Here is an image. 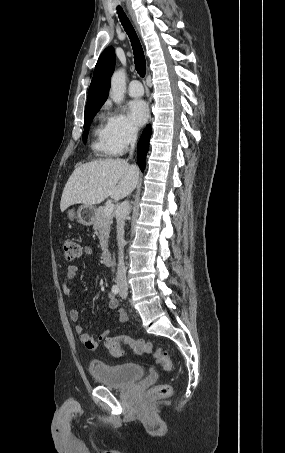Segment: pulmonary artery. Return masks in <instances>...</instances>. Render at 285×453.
<instances>
[{"label":"pulmonary artery","instance_id":"pulmonary-artery-1","mask_svg":"<svg viewBox=\"0 0 285 453\" xmlns=\"http://www.w3.org/2000/svg\"><path fill=\"white\" fill-rule=\"evenodd\" d=\"M128 94L131 97H141L144 94V89L139 80H132L128 85Z\"/></svg>","mask_w":285,"mask_h":453}]
</instances>
